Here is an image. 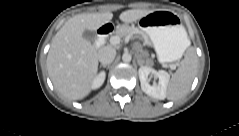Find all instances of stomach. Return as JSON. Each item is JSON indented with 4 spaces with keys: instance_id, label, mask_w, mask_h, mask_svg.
<instances>
[{
    "instance_id": "obj_1",
    "label": "stomach",
    "mask_w": 239,
    "mask_h": 136,
    "mask_svg": "<svg viewBox=\"0 0 239 136\" xmlns=\"http://www.w3.org/2000/svg\"><path fill=\"white\" fill-rule=\"evenodd\" d=\"M138 26L151 41L162 63L179 60L188 47L186 30L172 12H150L138 20Z\"/></svg>"
}]
</instances>
